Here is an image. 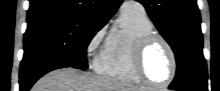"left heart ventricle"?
<instances>
[{"label":"left heart ventricle","mask_w":220,"mask_h":91,"mask_svg":"<svg viewBox=\"0 0 220 91\" xmlns=\"http://www.w3.org/2000/svg\"><path fill=\"white\" fill-rule=\"evenodd\" d=\"M144 68L147 76L155 82H164L171 73V58L166 47L160 43L151 45L145 55Z\"/></svg>","instance_id":"left-heart-ventricle-1"}]
</instances>
